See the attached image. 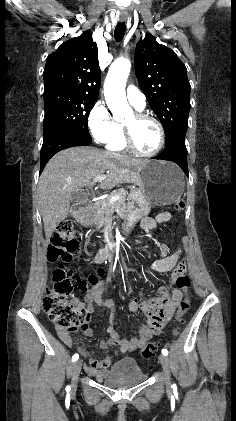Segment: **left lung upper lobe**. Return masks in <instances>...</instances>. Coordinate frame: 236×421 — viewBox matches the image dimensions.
I'll list each match as a JSON object with an SVG mask.
<instances>
[{
	"label": "left lung upper lobe",
	"instance_id": "5c2ea615",
	"mask_svg": "<svg viewBox=\"0 0 236 421\" xmlns=\"http://www.w3.org/2000/svg\"><path fill=\"white\" fill-rule=\"evenodd\" d=\"M134 61L139 85L164 127L167 146L175 136L186 135L191 91L187 69L151 34L137 43Z\"/></svg>",
	"mask_w": 236,
	"mask_h": 421
}]
</instances>
